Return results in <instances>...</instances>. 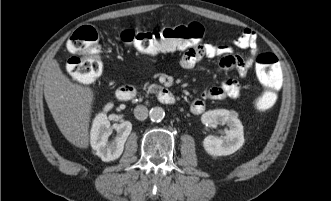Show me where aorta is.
<instances>
[{
  "instance_id": "762f6f07",
  "label": "aorta",
  "mask_w": 331,
  "mask_h": 201,
  "mask_svg": "<svg viewBox=\"0 0 331 201\" xmlns=\"http://www.w3.org/2000/svg\"><path fill=\"white\" fill-rule=\"evenodd\" d=\"M149 117L153 122H161L165 117V111L162 107H153L149 112Z\"/></svg>"
}]
</instances>
